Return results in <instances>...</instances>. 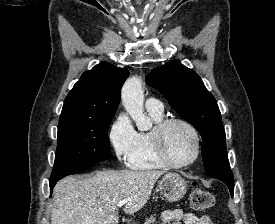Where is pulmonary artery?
Instances as JSON below:
<instances>
[{
  "instance_id": "1",
  "label": "pulmonary artery",
  "mask_w": 275,
  "mask_h": 224,
  "mask_svg": "<svg viewBox=\"0 0 275 224\" xmlns=\"http://www.w3.org/2000/svg\"><path fill=\"white\" fill-rule=\"evenodd\" d=\"M145 106L148 111L163 112V105L156 98H153V97L148 98L146 100Z\"/></svg>"
}]
</instances>
